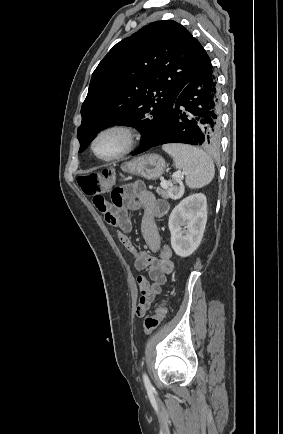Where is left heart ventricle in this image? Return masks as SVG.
I'll list each match as a JSON object with an SVG mask.
<instances>
[{
    "instance_id": "b2bd125f",
    "label": "left heart ventricle",
    "mask_w": 283,
    "mask_h": 434,
    "mask_svg": "<svg viewBox=\"0 0 283 434\" xmlns=\"http://www.w3.org/2000/svg\"><path fill=\"white\" fill-rule=\"evenodd\" d=\"M122 148V140L117 134H106L96 144V151L102 156H111Z\"/></svg>"
}]
</instances>
